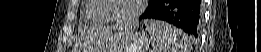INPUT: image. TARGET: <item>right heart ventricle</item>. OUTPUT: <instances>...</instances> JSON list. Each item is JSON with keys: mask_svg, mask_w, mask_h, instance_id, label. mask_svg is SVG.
I'll return each instance as SVG.
<instances>
[{"mask_svg": "<svg viewBox=\"0 0 261 52\" xmlns=\"http://www.w3.org/2000/svg\"><path fill=\"white\" fill-rule=\"evenodd\" d=\"M103 7V0H88L83 10L86 21L92 24H109V20L102 13Z\"/></svg>", "mask_w": 261, "mask_h": 52, "instance_id": "1", "label": "right heart ventricle"}]
</instances>
